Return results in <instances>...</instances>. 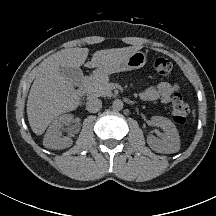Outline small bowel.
Here are the masks:
<instances>
[{
    "mask_svg": "<svg viewBox=\"0 0 216 216\" xmlns=\"http://www.w3.org/2000/svg\"><path fill=\"white\" fill-rule=\"evenodd\" d=\"M178 90L179 86L177 83L161 81L156 86L146 89L141 96L147 101L160 99L163 103H168Z\"/></svg>",
    "mask_w": 216,
    "mask_h": 216,
    "instance_id": "c3829d8e",
    "label": "small bowel"
}]
</instances>
